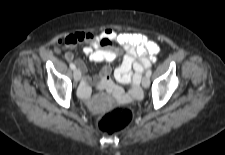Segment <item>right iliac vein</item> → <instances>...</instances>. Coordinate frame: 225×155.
<instances>
[{"mask_svg":"<svg viewBox=\"0 0 225 155\" xmlns=\"http://www.w3.org/2000/svg\"><path fill=\"white\" fill-rule=\"evenodd\" d=\"M74 80L78 82L81 79V72L79 69H75L73 72Z\"/></svg>","mask_w":225,"mask_h":155,"instance_id":"63e3f726","label":"right iliac vein"}]
</instances>
